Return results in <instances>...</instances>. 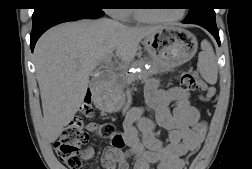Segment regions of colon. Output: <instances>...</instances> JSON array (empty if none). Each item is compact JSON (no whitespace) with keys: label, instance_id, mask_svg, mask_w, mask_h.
<instances>
[{"label":"colon","instance_id":"colon-1","mask_svg":"<svg viewBox=\"0 0 252 169\" xmlns=\"http://www.w3.org/2000/svg\"><path fill=\"white\" fill-rule=\"evenodd\" d=\"M181 88L187 91L202 90L205 95L201 98L209 100L214 95V90L206 84L199 81L193 72H186L181 76ZM94 115L93 107L88 99L80 110V115L76 116L62 131L60 137L55 142V150L58 158L66 164L69 169H82L84 167L83 157L85 152L83 146L88 141V134L84 129L82 117L91 119ZM99 135L102 138L112 140L116 147H123L122 135L116 131L111 123L100 125Z\"/></svg>","mask_w":252,"mask_h":169}]
</instances>
